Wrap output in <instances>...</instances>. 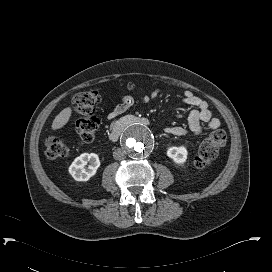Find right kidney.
Returning <instances> with one entry per match:
<instances>
[{
    "label": "right kidney",
    "instance_id": "ca27d5eb",
    "mask_svg": "<svg viewBox=\"0 0 272 272\" xmlns=\"http://www.w3.org/2000/svg\"><path fill=\"white\" fill-rule=\"evenodd\" d=\"M87 163H89V166L85 169ZM99 166L100 160L97 154L83 153L72 162L69 173L76 181H88L96 174Z\"/></svg>",
    "mask_w": 272,
    "mask_h": 272
}]
</instances>
